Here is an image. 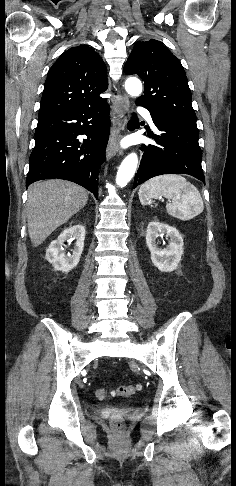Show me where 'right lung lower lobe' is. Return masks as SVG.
Segmentation results:
<instances>
[{
  "label": "right lung lower lobe",
  "mask_w": 236,
  "mask_h": 486,
  "mask_svg": "<svg viewBox=\"0 0 236 486\" xmlns=\"http://www.w3.org/2000/svg\"><path fill=\"white\" fill-rule=\"evenodd\" d=\"M106 101L38 118L26 187L43 179L75 182L98 198V172L110 130ZM86 135L81 143L77 137Z\"/></svg>",
  "instance_id": "98d812e1"
}]
</instances>
